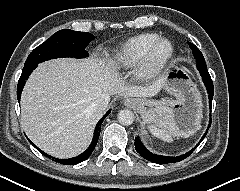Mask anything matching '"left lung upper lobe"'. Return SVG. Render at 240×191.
<instances>
[{
  "label": "left lung upper lobe",
  "instance_id": "obj_1",
  "mask_svg": "<svg viewBox=\"0 0 240 191\" xmlns=\"http://www.w3.org/2000/svg\"><path fill=\"white\" fill-rule=\"evenodd\" d=\"M189 46L192 49V52L196 59L197 64L206 65L204 57H203L202 53L200 52V50L190 42H189Z\"/></svg>",
  "mask_w": 240,
  "mask_h": 191
}]
</instances>
